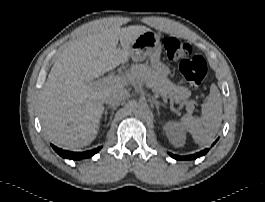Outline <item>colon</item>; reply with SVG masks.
Instances as JSON below:
<instances>
[{
    "label": "colon",
    "mask_w": 265,
    "mask_h": 202,
    "mask_svg": "<svg viewBox=\"0 0 265 202\" xmlns=\"http://www.w3.org/2000/svg\"><path fill=\"white\" fill-rule=\"evenodd\" d=\"M162 45L168 58L178 61L179 70L187 83L193 87H198L204 81L207 73L203 57L193 55L189 44L172 36H165Z\"/></svg>",
    "instance_id": "5ec220e1"
}]
</instances>
